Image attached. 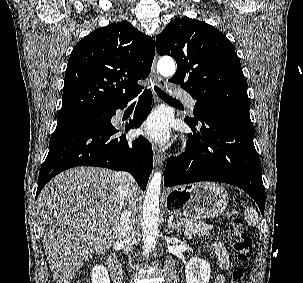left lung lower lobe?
<instances>
[{
	"label": "left lung lower lobe",
	"mask_w": 303,
	"mask_h": 283,
	"mask_svg": "<svg viewBox=\"0 0 303 283\" xmlns=\"http://www.w3.org/2000/svg\"><path fill=\"white\" fill-rule=\"evenodd\" d=\"M198 113L202 126L185 119L193 135L189 134L185 153L168 159L164 185L228 183L247 192L263 215L265 189L249 111L204 106Z\"/></svg>",
	"instance_id": "left-lung-lower-lobe-1"
}]
</instances>
